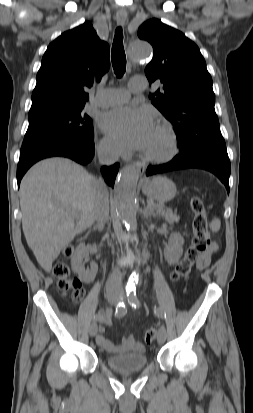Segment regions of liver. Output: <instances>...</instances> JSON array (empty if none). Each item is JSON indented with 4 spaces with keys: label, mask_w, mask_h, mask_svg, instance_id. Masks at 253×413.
Instances as JSON below:
<instances>
[{
    "label": "liver",
    "mask_w": 253,
    "mask_h": 413,
    "mask_svg": "<svg viewBox=\"0 0 253 413\" xmlns=\"http://www.w3.org/2000/svg\"><path fill=\"white\" fill-rule=\"evenodd\" d=\"M97 180L79 164L59 157L38 162L23 177L22 228L28 246L47 273L60 252L92 226Z\"/></svg>",
    "instance_id": "1"
}]
</instances>
